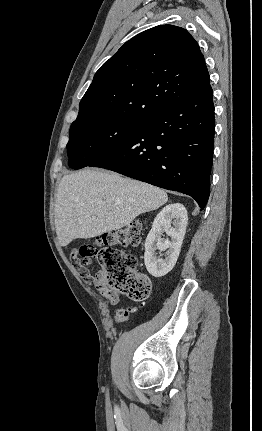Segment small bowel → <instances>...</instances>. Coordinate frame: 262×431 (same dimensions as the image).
<instances>
[{
    "instance_id": "1",
    "label": "small bowel",
    "mask_w": 262,
    "mask_h": 431,
    "mask_svg": "<svg viewBox=\"0 0 262 431\" xmlns=\"http://www.w3.org/2000/svg\"><path fill=\"white\" fill-rule=\"evenodd\" d=\"M83 279L87 284L95 285L100 294L105 297L111 304L116 305L117 303H119L121 298L120 294L117 291L102 286L91 275H85L83 276Z\"/></svg>"
}]
</instances>
